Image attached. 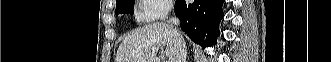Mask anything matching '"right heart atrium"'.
Wrapping results in <instances>:
<instances>
[{
    "label": "right heart atrium",
    "mask_w": 331,
    "mask_h": 62,
    "mask_svg": "<svg viewBox=\"0 0 331 62\" xmlns=\"http://www.w3.org/2000/svg\"><path fill=\"white\" fill-rule=\"evenodd\" d=\"M170 0H140L138 15L141 21L151 22L166 16L172 7Z\"/></svg>",
    "instance_id": "right-heart-atrium-1"
}]
</instances>
